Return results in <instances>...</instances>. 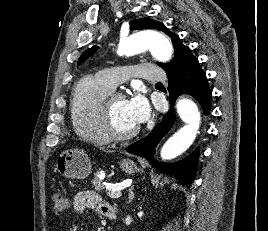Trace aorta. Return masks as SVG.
Returning a JSON list of instances; mask_svg holds the SVG:
<instances>
[{
    "instance_id": "762f6f07",
    "label": "aorta",
    "mask_w": 268,
    "mask_h": 231,
    "mask_svg": "<svg viewBox=\"0 0 268 231\" xmlns=\"http://www.w3.org/2000/svg\"><path fill=\"white\" fill-rule=\"evenodd\" d=\"M149 50L152 56L160 61L167 62L173 54L170 40L157 32H140L121 39L117 53L132 56ZM177 112L185 125L177 130L162 146L161 158L170 160L185 152L194 142L200 127L201 116L196 104L186 98L177 101Z\"/></svg>"
}]
</instances>
